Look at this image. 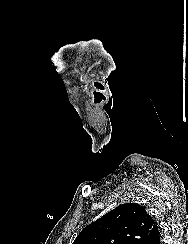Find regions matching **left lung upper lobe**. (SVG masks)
Instances as JSON below:
<instances>
[{
	"mask_svg": "<svg viewBox=\"0 0 188 244\" xmlns=\"http://www.w3.org/2000/svg\"><path fill=\"white\" fill-rule=\"evenodd\" d=\"M158 231L144 207L125 203L87 225L73 244H150Z\"/></svg>",
	"mask_w": 188,
	"mask_h": 244,
	"instance_id": "obj_1",
	"label": "left lung upper lobe"
}]
</instances>
